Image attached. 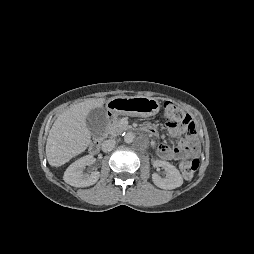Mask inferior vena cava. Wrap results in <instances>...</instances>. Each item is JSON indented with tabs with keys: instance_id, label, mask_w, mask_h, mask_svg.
<instances>
[{
	"instance_id": "602c4592",
	"label": "inferior vena cava",
	"mask_w": 254,
	"mask_h": 254,
	"mask_svg": "<svg viewBox=\"0 0 254 254\" xmlns=\"http://www.w3.org/2000/svg\"><path fill=\"white\" fill-rule=\"evenodd\" d=\"M116 141L114 139H108L105 140L102 143V150L103 152H110L113 150V148L115 147Z\"/></svg>"
}]
</instances>
